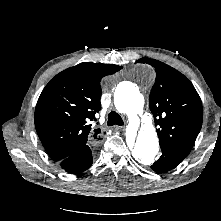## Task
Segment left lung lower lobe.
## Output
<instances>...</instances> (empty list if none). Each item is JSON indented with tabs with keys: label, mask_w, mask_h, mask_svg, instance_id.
<instances>
[{
	"label": "left lung lower lobe",
	"mask_w": 221,
	"mask_h": 221,
	"mask_svg": "<svg viewBox=\"0 0 221 221\" xmlns=\"http://www.w3.org/2000/svg\"><path fill=\"white\" fill-rule=\"evenodd\" d=\"M161 149V157L151 165L152 170L158 173H164L175 168L188 154L183 151L167 147H161Z\"/></svg>",
	"instance_id": "obj_1"
}]
</instances>
